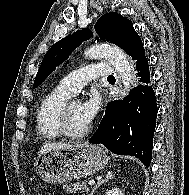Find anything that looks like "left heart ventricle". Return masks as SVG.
<instances>
[{
	"instance_id": "b2bd125f",
	"label": "left heart ventricle",
	"mask_w": 189,
	"mask_h": 195,
	"mask_svg": "<svg viewBox=\"0 0 189 195\" xmlns=\"http://www.w3.org/2000/svg\"><path fill=\"white\" fill-rule=\"evenodd\" d=\"M69 126L73 132H81L89 126V123L85 119L81 103L75 102L69 111Z\"/></svg>"
}]
</instances>
